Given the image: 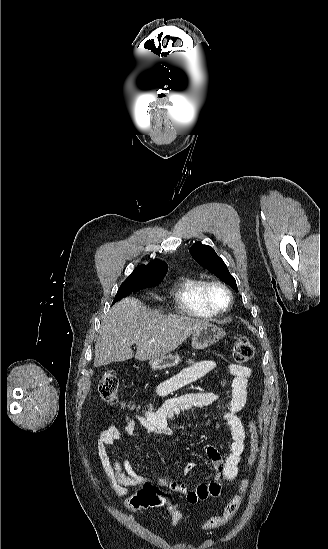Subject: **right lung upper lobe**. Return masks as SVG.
<instances>
[{"mask_svg":"<svg viewBox=\"0 0 328 549\" xmlns=\"http://www.w3.org/2000/svg\"><path fill=\"white\" fill-rule=\"evenodd\" d=\"M154 269L160 272H167V264L161 260L155 259L154 261L150 262L147 266L146 265H140L137 267L133 272L141 271L143 269Z\"/></svg>","mask_w":328,"mask_h":549,"instance_id":"cb5924a9","label":"right lung upper lobe"}]
</instances>
